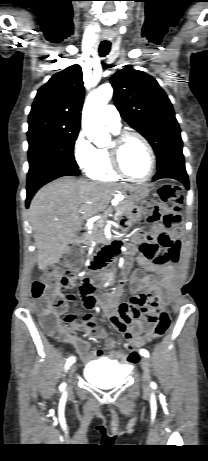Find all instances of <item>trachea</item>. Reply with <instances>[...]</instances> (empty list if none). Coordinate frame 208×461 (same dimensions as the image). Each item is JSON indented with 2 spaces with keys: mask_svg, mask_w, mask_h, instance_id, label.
I'll use <instances>...</instances> for the list:
<instances>
[{
  "mask_svg": "<svg viewBox=\"0 0 208 461\" xmlns=\"http://www.w3.org/2000/svg\"><path fill=\"white\" fill-rule=\"evenodd\" d=\"M110 48H111V44L110 43H106V42H102L99 46V53H100V56L101 57H105L109 51H110Z\"/></svg>",
  "mask_w": 208,
  "mask_h": 461,
  "instance_id": "obj_1",
  "label": "trachea"
}]
</instances>
